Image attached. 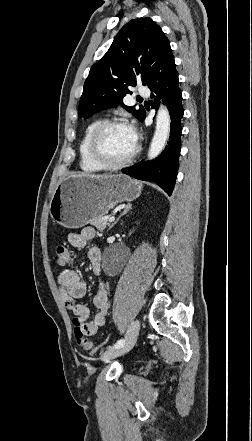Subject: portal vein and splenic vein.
<instances>
[{"label": "portal vein and splenic vein", "instance_id": "1", "mask_svg": "<svg viewBox=\"0 0 252 441\" xmlns=\"http://www.w3.org/2000/svg\"><path fill=\"white\" fill-rule=\"evenodd\" d=\"M114 220H115L114 217H110V218L108 219L109 222H113Z\"/></svg>", "mask_w": 252, "mask_h": 441}]
</instances>
